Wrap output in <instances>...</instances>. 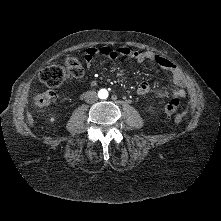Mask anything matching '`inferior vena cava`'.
Here are the masks:
<instances>
[{
    "label": "inferior vena cava",
    "mask_w": 221,
    "mask_h": 221,
    "mask_svg": "<svg viewBox=\"0 0 221 221\" xmlns=\"http://www.w3.org/2000/svg\"><path fill=\"white\" fill-rule=\"evenodd\" d=\"M84 99L87 103H95L98 100V96L95 91H87L84 94Z\"/></svg>",
    "instance_id": "obj_1"
}]
</instances>
